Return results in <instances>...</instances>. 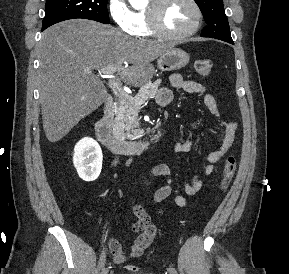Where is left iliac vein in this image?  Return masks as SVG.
<instances>
[{"label":"left iliac vein","mask_w":289,"mask_h":274,"mask_svg":"<svg viewBox=\"0 0 289 274\" xmlns=\"http://www.w3.org/2000/svg\"><path fill=\"white\" fill-rule=\"evenodd\" d=\"M169 274H178L177 270L175 268H170L168 270Z\"/></svg>","instance_id":"obj_1"}]
</instances>
